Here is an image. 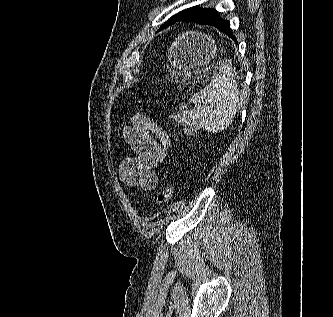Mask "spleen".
Segmentation results:
<instances>
[{
  "label": "spleen",
  "mask_w": 333,
  "mask_h": 317,
  "mask_svg": "<svg viewBox=\"0 0 333 317\" xmlns=\"http://www.w3.org/2000/svg\"><path fill=\"white\" fill-rule=\"evenodd\" d=\"M233 71L228 63H222L210 83L190 98L195 108L171 114L169 119L193 130L202 128L215 133L226 129L233 122L240 100Z\"/></svg>",
  "instance_id": "obj_1"
}]
</instances>
